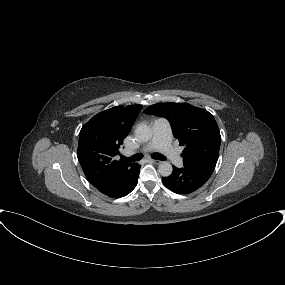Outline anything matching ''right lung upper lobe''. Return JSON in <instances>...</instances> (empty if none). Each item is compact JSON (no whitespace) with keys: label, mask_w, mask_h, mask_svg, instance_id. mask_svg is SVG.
<instances>
[{"label":"right lung upper lobe","mask_w":285,"mask_h":285,"mask_svg":"<svg viewBox=\"0 0 285 285\" xmlns=\"http://www.w3.org/2000/svg\"><path fill=\"white\" fill-rule=\"evenodd\" d=\"M142 105L115 106L98 113L81 129L77 157L84 174L96 188L113 183L136 163L116 160Z\"/></svg>","instance_id":"obj_1"}]
</instances>
